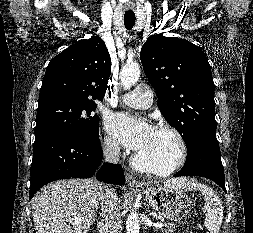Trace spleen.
Returning a JSON list of instances; mask_svg holds the SVG:
<instances>
[{"mask_svg":"<svg viewBox=\"0 0 253 233\" xmlns=\"http://www.w3.org/2000/svg\"><path fill=\"white\" fill-rule=\"evenodd\" d=\"M173 188L181 191L199 190L204 196V225L210 233H219L223 220V206L216 192L206 184L198 183L196 180L187 181L185 178L173 179Z\"/></svg>","mask_w":253,"mask_h":233,"instance_id":"1","label":"spleen"}]
</instances>
